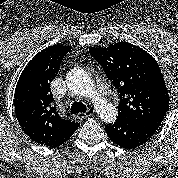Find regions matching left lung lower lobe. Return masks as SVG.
I'll list each match as a JSON object with an SVG mask.
<instances>
[{"instance_id": "left-lung-lower-lobe-1", "label": "left lung lower lobe", "mask_w": 178, "mask_h": 178, "mask_svg": "<svg viewBox=\"0 0 178 178\" xmlns=\"http://www.w3.org/2000/svg\"><path fill=\"white\" fill-rule=\"evenodd\" d=\"M160 128L159 124L149 121L116 119L114 124L105 126L110 140L126 149H133L148 142Z\"/></svg>"}]
</instances>
